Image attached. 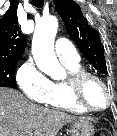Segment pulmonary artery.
Masks as SVG:
<instances>
[{
  "label": "pulmonary artery",
  "mask_w": 117,
  "mask_h": 136,
  "mask_svg": "<svg viewBox=\"0 0 117 136\" xmlns=\"http://www.w3.org/2000/svg\"><path fill=\"white\" fill-rule=\"evenodd\" d=\"M55 52L59 60L63 63H77L80 58L73 44L63 38L57 39Z\"/></svg>",
  "instance_id": "pulmonary-artery-1"
}]
</instances>
